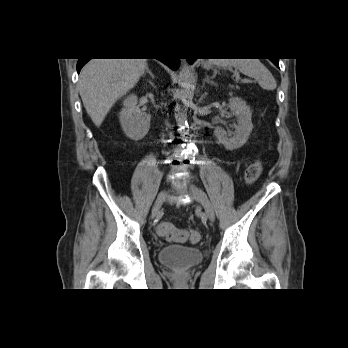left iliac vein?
<instances>
[{
	"mask_svg": "<svg viewBox=\"0 0 348 348\" xmlns=\"http://www.w3.org/2000/svg\"><path fill=\"white\" fill-rule=\"evenodd\" d=\"M188 190L191 196L204 208L206 216L211 222L215 220V212L207 194L200 188L188 184Z\"/></svg>",
	"mask_w": 348,
	"mask_h": 348,
	"instance_id": "obj_1",
	"label": "left iliac vein"
}]
</instances>
